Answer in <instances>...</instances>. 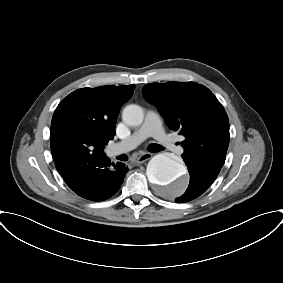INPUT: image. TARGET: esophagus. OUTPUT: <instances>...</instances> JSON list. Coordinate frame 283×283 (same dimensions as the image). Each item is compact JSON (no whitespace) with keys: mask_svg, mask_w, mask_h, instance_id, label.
Listing matches in <instances>:
<instances>
[{"mask_svg":"<svg viewBox=\"0 0 283 283\" xmlns=\"http://www.w3.org/2000/svg\"><path fill=\"white\" fill-rule=\"evenodd\" d=\"M152 154L151 153H142L137 159H136V163L137 164H141L144 163L145 161L151 159Z\"/></svg>","mask_w":283,"mask_h":283,"instance_id":"1","label":"esophagus"}]
</instances>
